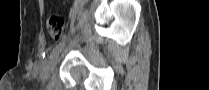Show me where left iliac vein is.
<instances>
[{
    "mask_svg": "<svg viewBox=\"0 0 209 90\" xmlns=\"http://www.w3.org/2000/svg\"><path fill=\"white\" fill-rule=\"evenodd\" d=\"M59 63V53L51 60L48 68L49 74L53 73Z\"/></svg>",
    "mask_w": 209,
    "mask_h": 90,
    "instance_id": "obj_1",
    "label": "left iliac vein"
}]
</instances>
